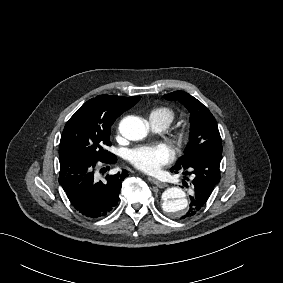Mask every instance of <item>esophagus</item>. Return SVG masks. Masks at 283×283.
<instances>
[{"mask_svg": "<svg viewBox=\"0 0 283 283\" xmlns=\"http://www.w3.org/2000/svg\"><path fill=\"white\" fill-rule=\"evenodd\" d=\"M151 180H152V182H153L156 186H158L159 188H165V187L168 186L166 183H164V182H162V181H160V180H158V179H156V178L151 177Z\"/></svg>", "mask_w": 283, "mask_h": 283, "instance_id": "esophagus-1", "label": "esophagus"}]
</instances>
